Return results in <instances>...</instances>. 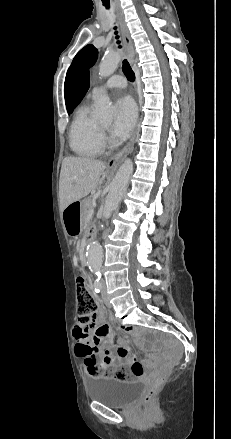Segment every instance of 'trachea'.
I'll return each instance as SVG.
<instances>
[{
	"instance_id": "trachea-1",
	"label": "trachea",
	"mask_w": 231,
	"mask_h": 439,
	"mask_svg": "<svg viewBox=\"0 0 231 439\" xmlns=\"http://www.w3.org/2000/svg\"><path fill=\"white\" fill-rule=\"evenodd\" d=\"M103 5L106 7V9H109V3L108 2H103ZM116 29V27H115ZM116 34V39L119 38V36L117 35V31H115ZM118 44H120V41H117ZM119 48H121V46H119ZM122 70L124 75L127 77V79L131 82H133L135 80V74L133 72V70L131 69L129 63L127 62V60L123 61V65H122Z\"/></svg>"
}]
</instances>
